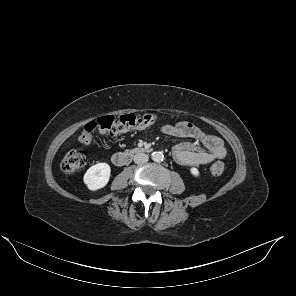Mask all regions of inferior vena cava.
<instances>
[{
  "label": "inferior vena cava",
  "instance_id": "602c4592",
  "mask_svg": "<svg viewBox=\"0 0 296 296\" xmlns=\"http://www.w3.org/2000/svg\"><path fill=\"white\" fill-rule=\"evenodd\" d=\"M149 160V157L147 154L145 153H137L135 156H134V162L136 164H143V163H146L148 162Z\"/></svg>",
  "mask_w": 296,
  "mask_h": 296
}]
</instances>
